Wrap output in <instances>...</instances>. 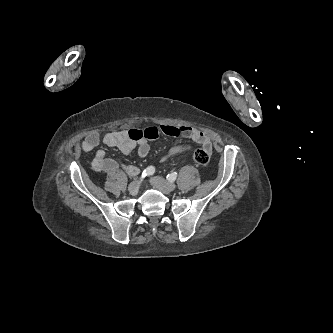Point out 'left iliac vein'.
<instances>
[{
	"label": "left iliac vein",
	"instance_id": "4c4485c4",
	"mask_svg": "<svg viewBox=\"0 0 333 333\" xmlns=\"http://www.w3.org/2000/svg\"><path fill=\"white\" fill-rule=\"evenodd\" d=\"M151 184L160 190L161 192L168 194L176 188V185L171 182H167L162 177L156 176L150 179Z\"/></svg>",
	"mask_w": 333,
	"mask_h": 333
}]
</instances>
